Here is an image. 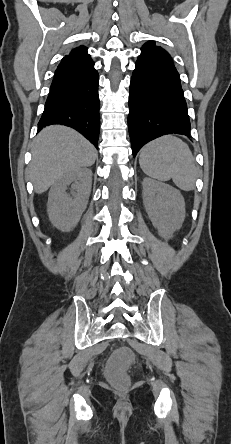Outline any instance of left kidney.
<instances>
[{
  "instance_id": "obj_1",
  "label": "left kidney",
  "mask_w": 231,
  "mask_h": 444,
  "mask_svg": "<svg viewBox=\"0 0 231 444\" xmlns=\"http://www.w3.org/2000/svg\"><path fill=\"white\" fill-rule=\"evenodd\" d=\"M143 203L161 237L171 238L185 219V202L178 190L151 178H144Z\"/></svg>"
}]
</instances>
